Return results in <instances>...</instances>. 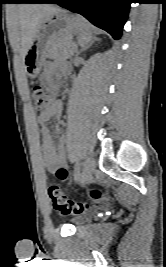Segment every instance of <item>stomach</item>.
<instances>
[{"instance_id": "1", "label": "stomach", "mask_w": 166, "mask_h": 267, "mask_svg": "<svg viewBox=\"0 0 166 267\" xmlns=\"http://www.w3.org/2000/svg\"><path fill=\"white\" fill-rule=\"evenodd\" d=\"M82 22V18L61 9L42 18L35 38L24 56L27 75L36 78L47 58L51 44L58 38L69 37L78 32Z\"/></svg>"}]
</instances>
